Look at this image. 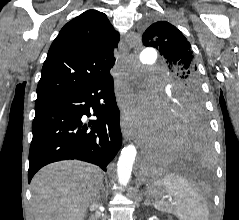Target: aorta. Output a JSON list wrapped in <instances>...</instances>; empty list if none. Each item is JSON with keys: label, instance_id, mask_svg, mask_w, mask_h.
Here are the masks:
<instances>
[{"label": "aorta", "instance_id": "1", "mask_svg": "<svg viewBox=\"0 0 239 220\" xmlns=\"http://www.w3.org/2000/svg\"><path fill=\"white\" fill-rule=\"evenodd\" d=\"M142 65H155V58L158 55L156 48H143L140 51ZM141 65H139L140 67ZM137 154L136 147L130 144L124 147L117 164V176L120 185H126L131 178L133 163Z\"/></svg>", "mask_w": 239, "mask_h": 220}]
</instances>
